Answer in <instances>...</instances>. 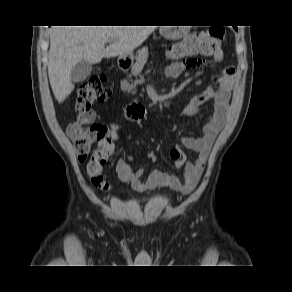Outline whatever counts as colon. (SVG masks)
Returning <instances> with one entry per match:
<instances>
[{
    "mask_svg": "<svg viewBox=\"0 0 292 292\" xmlns=\"http://www.w3.org/2000/svg\"><path fill=\"white\" fill-rule=\"evenodd\" d=\"M225 38V31L220 27H211L207 30L190 34L184 40L176 43L169 50L171 59H182L192 56H209L219 48ZM105 77L95 75L83 83L77 91L76 110L77 118L67 126V134L74 142L78 160L87 162V173L91 183L104 191L110 189V184L103 178L102 171L114 151L117 137L115 126L107 127L96 121L93 105L105 101L109 97V90L105 87ZM94 143L98 148L91 153ZM177 149L171 151V156L176 160L181 156ZM150 161L156 162L159 153L150 150L147 153Z\"/></svg>",
    "mask_w": 292,
    "mask_h": 292,
    "instance_id": "obj_1",
    "label": "colon"
}]
</instances>
